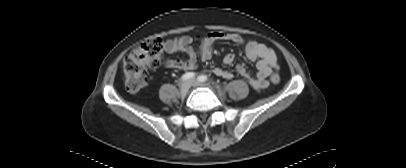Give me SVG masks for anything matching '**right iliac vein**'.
Segmentation results:
<instances>
[{
    "label": "right iliac vein",
    "instance_id": "obj_1",
    "mask_svg": "<svg viewBox=\"0 0 406 168\" xmlns=\"http://www.w3.org/2000/svg\"><path fill=\"white\" fill-rule=\"evenodd\" d=\"M191 86H192L191 80L184 82L180 87L181 96H186Z\"/></svg>",
    "mask_w": 406,
    "mask_h": 168
}]
</instances>
